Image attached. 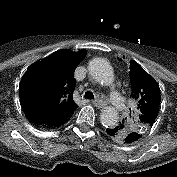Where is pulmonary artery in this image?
<instances>
[{
	"instance_id": "1",
	"label": "pulmonary artery",
	"mask_w": 177,
	"mask_h": 177,
	"mask_svg": "<svg viewBox=\"0 0 177 177\" xmlns=\"http://www.w3.org/2000/svg\"><path fill=\"white\" fill-rule=\"evenodd\" d=\"M109 98L111 103L114 105V107L118 110H122L124 108V101L122 98L119 96L118 91L116 90L114 85L110 86L109 90Z\"/></svg>"
}]
</instances>
